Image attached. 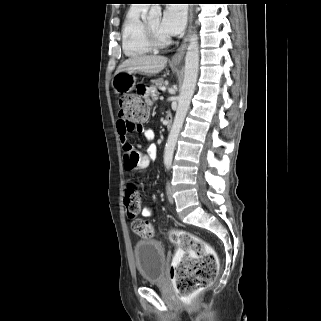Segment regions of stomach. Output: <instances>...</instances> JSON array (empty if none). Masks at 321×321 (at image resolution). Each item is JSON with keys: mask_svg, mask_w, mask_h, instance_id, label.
<instances>
[{"mask_svg": "<svg viewBox=\"0 0 321 321\" xmlns=\"http://www.w3.org/2000/svg\"><path fill=\"white\" fill-rule=\"evenodd\" d=\"M135 84V72L123 71L117 73L112 80V86L118 94L130 92L135 87Z\"/></svg>", "mask_w": 321, "mask_h": 321, "instance_id": "1", "label": "stomach"}]
</instances>
